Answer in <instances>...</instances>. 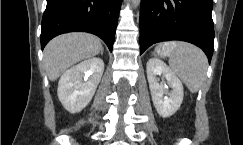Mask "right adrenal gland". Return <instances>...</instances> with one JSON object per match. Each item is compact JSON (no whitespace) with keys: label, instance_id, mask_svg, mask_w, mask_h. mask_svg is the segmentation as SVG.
<instances>
[{"label":"right adrenal gland","instance_id":"2a0ac1e0","mask_svg":"<svg viewBox=\"0 0 243 145\" xmlns=\"http://www.w3.org/2000/svg\"><path fill=\"white\" fill-rule=\"evenodd\" d=\"M100 54L103 55V49L101 50Z\"/></svg>","mask_w":243,"mask_h":145}]
</instances>
